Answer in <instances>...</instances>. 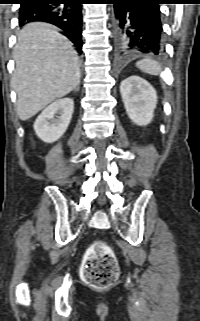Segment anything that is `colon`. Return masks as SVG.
Instances as JSON below:
<instances>
[{
	"instance_id": "1",
	"label": "colon",
	"mask_w": 200,
	"mask_h": 321,
	"mask_svg": "<svg viewBox=\"0 0 200 321\" xmlns=\"http://www.w3.org/2000/svg\"><path fill=\"white\" fill-rule=\"evenodd\" d=\"M118 264L112 249L104 242H95L88 249L82 266L84 281L95 288H106L118 277Z\"/></svg>"
}]
</instances>
